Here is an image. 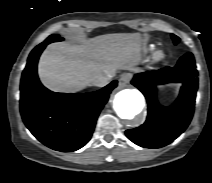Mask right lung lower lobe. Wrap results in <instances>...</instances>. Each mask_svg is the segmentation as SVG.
Segmentation results:
<instances>
[{
  "instance_id": "1",
  "label": "right lung lower lobe",
  "mask_w": 212,
  "mask_h": 183,
  "mask_svg": "<svg viewBox=\"0 0 212 183\" xmlns=\"http://www.w3.org/2000/svg\"><path fill=\"white\" fill-rule=\"evenodd\" d=\"M50 40L29 55L20 85V112L31 133L44 145L61 152L83 147L91 138L97 118L117 81L84 94L55 93L37 76V62Z\"/></svg>"
}]
</instances>
